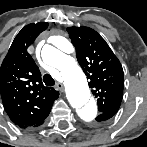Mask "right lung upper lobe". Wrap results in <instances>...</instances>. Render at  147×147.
Here are the masks:
<instances>
[{"label": "right lung upper lobe", "instance_id": "right-lung-upper-lobe-1", "mask_svg": "<svg viewBox=\"0 0 147 147\" xmlns=\"http://www.w3.org/2000/svg\"><path fill=\"white\" fill-rule=\"evenodd\" d=\"M48 27V23L26 25L15 37L0 67L3 106L16 125L33 127L49 115L59 92L45 87L41 73L27 48Z\"/></svg>", "mask_w": 147, "mask_h": 147}]
</instances>
